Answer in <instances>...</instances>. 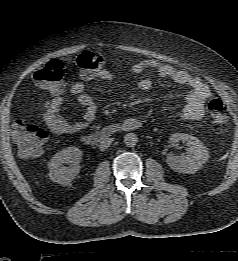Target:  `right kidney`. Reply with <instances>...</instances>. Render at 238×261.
Returning <instances> with one entry per match:
<instances>
[{
    "instance_id": "ca27d5eb",
    "label": "right kidney",
    "mask_w": 238,
    "mask_h": 261,
    "mask_svg": "<svg viewBox=\"0 0 238 261\" xmlns=\"http://www.w3.org/2000/svg\"><path fill=\"white\" fill-rule=\"evenodd\" d=\"M82 151L75 146L56 153L48 163L50 180L62 186L69 185L80 172ZM69 164V167L63 166Z\"/></svg>"
}]
</instances>
